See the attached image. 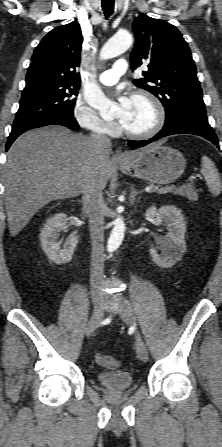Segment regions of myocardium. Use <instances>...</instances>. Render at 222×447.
Returning a JSON list of instances; mask_svg holds the SVG:
<instances>
[{"instance_id": "obj_1", "label": "myocardium", "mask_w": 222, "mask_h": 447, "mask_svg": "<svg viewBox=\"0 0 222 447\" xmlns=\"http://www.w3.org/2000/svg\"><path fill=\"white\" fill-rule=\"evenodd\" d=\"M132 99H143L149 102L155 111V122L152 127L145 131L134 132L121 127L124 135L132 139H146L156 135L164 126L166 121V112L161 101L148 91H137L132 95Z\"/></svg>"}]
</instances>
